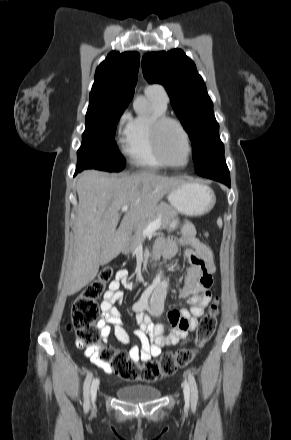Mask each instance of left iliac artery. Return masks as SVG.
<instances>
[{"label": "left iliac artery", "instance_id": "obj_1", "mask_svg": "<svg viewBox=\"0 0 291 440\" xmlns=\"http://www.w3.org/2000/svg\"><path fill=\"white\" fill-rule=\"evenodd\" d=\"M187 374H188L189 384L191 387V401H192L193 405H196L197 401H198L197 383H196V380H195L193 373L190 370L187 371Z\"/></svg>", "mask_w": 291, "mask_h": 440}]
</instances>
